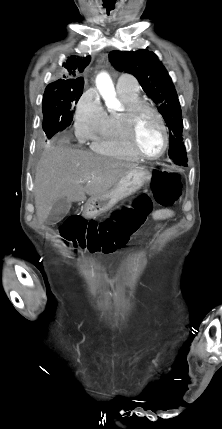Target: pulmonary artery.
<instances>
[{
  "mask_svg": "<svg viewBox=\"0 0 222 429\" xmlns=\"http://www.w3.org/2000/svg\"><path fill=\"white\" fill-rule=\"evenodd\" d=\"M117 90L138 91L139 87L133 77L128 75H122L117 81Z\"/></svg>",
  "mask_w": 222,
  "mask_h": 429,
  "instance_id": "pulmonary-artery-1",
  "label": "pulmonary artery"
}]
</instances>
